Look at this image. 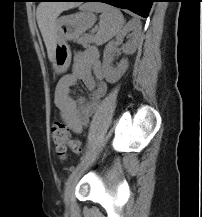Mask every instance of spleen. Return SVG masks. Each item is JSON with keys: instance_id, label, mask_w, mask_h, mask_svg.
Here are the masks:
<instances>
[{"instance_id": "obj_1", "label": "spleen", "mask_w": 202, "mask_h": 217, "mask_svg": "<svg viewBox=\"0 0 202 217\" xmlns=\"http://www.w3.org/2000/svg\"><path fill=\"white\" fill-rule=\"evenodd\" d=\"M83 10L101 13L99 30L95 36L97 45H101L118 35L123 28L124 18L119 9L104 3H88L82 6Z\"/></svg>"}]
</instances>
